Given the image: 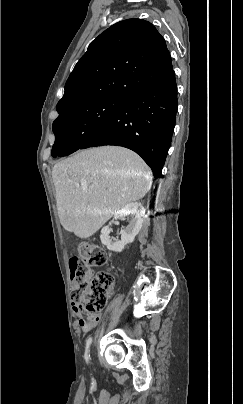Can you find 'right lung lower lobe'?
I'll list each match as a JSON object with an SVG mask.
<instances>
[{"instance_id": "98d812e1", "label": "right lung lower lobe", "mask_w": 243, "mask_h": 404, "mask_svg": "<svg viewBox=\"0 0 243 404\" xmlns=\"http://www.w3.org/2000/svg\"><path fill=\"white\" fill-rule=\"evenodd\" d=\"M171 60V59H170ZM175 73L126 98L112 118L80 149L118 145L139 154L154 177L161 171L172 141L177 113Z\"/></svg>"}]
</instances>
